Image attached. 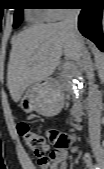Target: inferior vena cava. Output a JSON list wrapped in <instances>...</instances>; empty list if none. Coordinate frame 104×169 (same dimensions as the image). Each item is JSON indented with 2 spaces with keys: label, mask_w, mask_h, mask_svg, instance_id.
<instances>
[{
  "label": "inferior vena cava",
  "mask_w": 104,
  "mask_h": 169,
  "mask_svg": "<svg viewBox=\"0 0 104 169\" xmlns=\"http://www.w3.org/2000/svg\"><path fill=\"white\" fill-rule=\"evenodd\" d=\"M80 9H68L63 23L73 37L75 38L80 49L81 66L89 80V97H88V126L89 137L92 148H100V123L102 114V96L94 84V68L90 53L78 31V16Z\"/></svg>",
  "instance_id": "1"
}]
</instances>
